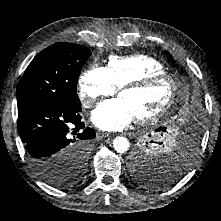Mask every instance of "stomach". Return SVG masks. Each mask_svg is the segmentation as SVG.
Returning <instances> with one entry per match:
<instances>
[{"label":"stomach","instance_id":"1","mask_svg":"<svg viewBox=\"0 0 221 221\" xmlns=\"http://www.w3.org/2000/svg\"><path fill=\"white\" fill-rule=\"evenodd\" d=\"M177 138H178V136H176L175 140L172 139V138H168V140H167L168 146L174 147L176 145V143H177Z\"/></svg>","mask_w":221,"mask_h":221}]
</instances>
